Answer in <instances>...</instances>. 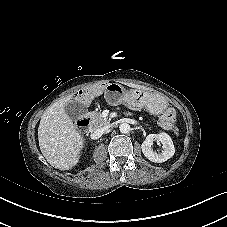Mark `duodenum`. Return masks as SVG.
I'll return each instance as SVG.
<instances>
[{
  "label": "duodenum",
  "mask_w": 227,
  "mask_h": 227,
  "mask_svg": "<svg viewBox=\"0 0 227 227\" xmlns=\"http://www.w3.org/2000/svg\"><path fill=\"white\" fill-rule=\"evenodd\" d=\"M77 127L80 129L82 132H88L90 129V121L87 118H81L77 122Z\"/></svg>",
  "instance_id": "obj_1"
}]
</instances>
